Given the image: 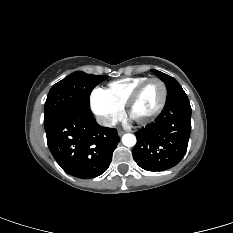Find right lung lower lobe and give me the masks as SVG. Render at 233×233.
<instances>
[{
  "instance_id": "obj_1",
  "label": "right lung lower lobe",
  "mask_w": 233,
  "mask_h": 233,
  "mask_svg": "<svg viewBox=\"0 0 233 233\" xmlns=\"http://www.w3.org/2000/svg\"><path fill=\"white\" fill-rule=\"evenodd\" d=\"M49 149L62 169L78 178H94L109 167L120 138L100 126L90 107L73 108L44 120Z\"/></svg>"
}]
</instances>
